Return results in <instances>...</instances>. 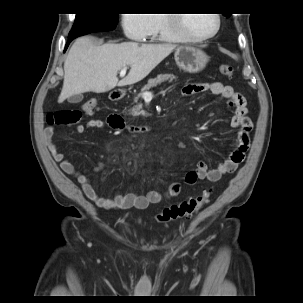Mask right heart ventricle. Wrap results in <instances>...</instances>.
<instances>
[{
  "instance_id": "1",
  "label": "right heart ventricle",
  "mask_w": 303,
  "mask_h": 303,
  "mask_svg": "<svg viewBox=\"0 0 303 303\" xmlns=\"http://www.w3.org/2000/svg\"><path fill=\"white\" fill-rule=\"evenodd\" d=\"M154 27L148 35L151 39H161L168 42H181L184 39L169 27L167 14L151 15Z\"/></svg>"
}]
</instances>
